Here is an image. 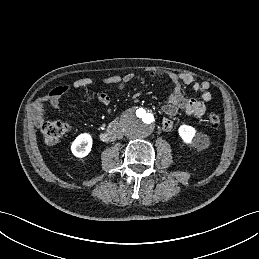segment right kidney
<instances>
[{
  "instance_id": "right-kidney-1",
  "label": "right kidney",
  "mask_w": 259,
  "mask_h": 259,
  "mask_svg": "<svg viewBox=\"0 0 259 259\" xmlns=\"http://www.w3.org/2000/svg\"><path fill=\"white\" fill-rule=\"evenodd\" d=\"M92 148V137L88 133L80 134L71 145V151L74 156L83 158L87 156Z\"/></svg>"
}]
</instances>
